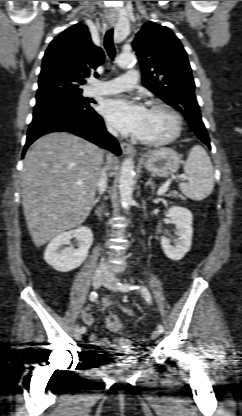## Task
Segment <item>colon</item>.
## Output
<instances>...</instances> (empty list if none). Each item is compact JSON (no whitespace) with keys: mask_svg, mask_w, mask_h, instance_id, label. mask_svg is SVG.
<instances>
[{"mask_svg":"<svg viewBox=\"0 0 242 416\" xmlns=\"http://www.w3.org/2000/svg\"><path fill=\"white\" fill-rule=\"evenodd\" d=\"M106 327L112 333H122L124 331L123 322L116 315H110L107 317Z\"/></svg>","mask_w":242,"mask_h":416,"instance_id":"colon-1","label":"colon"}]
</instances>
